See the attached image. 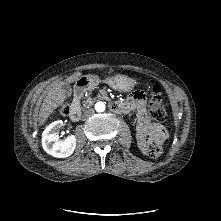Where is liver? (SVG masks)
<instances>
[{
    "label": "liver",
    "instance_id": "1",
    "mask_svg": "<svg viewBox=\"0 0 221 221\" xmlns=\"http://www.w3.org/2000/svg\"><path fill=\"white\" fill-rule=\"evenodd\" d=\"M82 77L80 72L73 74L68 77L65 81L58 82L52 86V88L48 91L46 97L43 100L39 111V124L43 125L46 120L50 117L52 113L56 111V109L64 104V101L67 98V94L63 91L62 86L64 83H72L77 81Z\"/></svg>",
    "mask_w": 221,
    "mask_h": 221
}]
</instances>
